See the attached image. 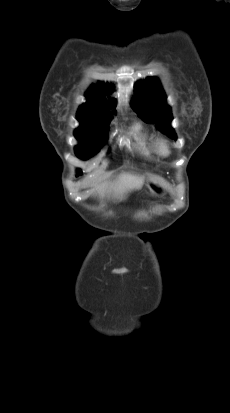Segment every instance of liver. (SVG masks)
<instances>
[{
	"label": "liver",
	"instance_id": "liver-1",
	"mask_svg": "<svg viewBox=\"0 0 230 413\" xmlns=\"http://www.w3.org/2000/svg\"><path fill=\"white\" fill-rule=\"evenodd\" d=\"M144 184V178L128 172L121 173L113 182L101 183L96 187L99 195L112 193L114 197L122 200L125 195L133 190H140Z\"/></svg>",
	"mask_w": 230,
	"mask_h": 413
}]
</instances>
